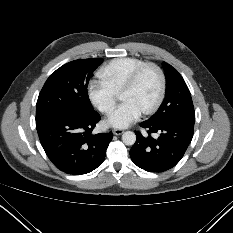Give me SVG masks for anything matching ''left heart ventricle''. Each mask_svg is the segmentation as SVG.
<instances>
[{"label":"left heart ventricle","mask_w":233,"mask_h":233,"mask_svg":"<svg viewBox=\"0 0 233 233\" xmlns=\"http://www.w3.org/2000/svg\"><path fill=\"white\" fill-rule=\"evenodd\" d=\"M160 81L156 71L149 69L141 77L138 84L121 92L123 101H132L143 111L149 108L157 99Z\"/></svg>","instance_id":"1"}]
</instances>
